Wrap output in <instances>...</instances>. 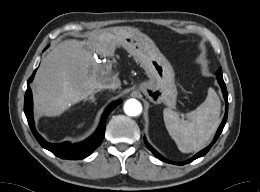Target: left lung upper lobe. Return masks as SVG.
Wrapping results in <instances>:
<instances>
[{
	"label": "left lung upper lobe",
	"mask_w": 260,
	"mask_h": 192,
	"mask_svg": "<svg viewBox=\"0 0 260 192\" xmlns=\"http://www.w3.org/2000/svg\"><path fill=\"white\" fill-rule=\"evenodd\" d=\"M216 76H217V78H223V77H222V70H221V68H219V69L217 70Z\"/></svg>",
	"instance_id": "1"
}]
</instances>
